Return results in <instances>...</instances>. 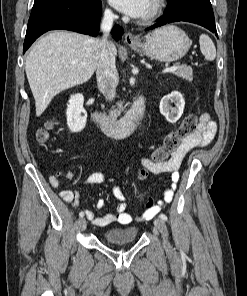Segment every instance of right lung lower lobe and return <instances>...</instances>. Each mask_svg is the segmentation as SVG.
Segmentation results:
<instances>
[{"label": "right lung lower lobe", "instance_id": "1", "mask_svg": "<svg viewBox=\"0 0 247 296\" xmlns=\"http://www.w3.org/2000/svg\"><path fill=\"white\" fill-rule=\"evenodd\" d=\"M101 12V0L94 5L83 0L35 2L28 21L23 53L40 35L49 30L65 29L97 36ZM112 34L116 40H119L123 29L120 26H114Z\"/></svg>", "mask_w": 247, "mask_h": 296}]
</instances>
